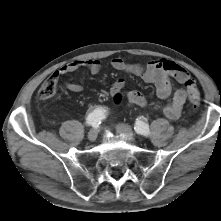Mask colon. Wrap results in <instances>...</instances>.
<instances>
[{
	"label": "colon",
	"instance_id": "obj_1",
	"mask_svg": "<svg viewBox=\"0 0 221 221\" xmlns=\"http://www.w3.org/2000/svg\"><path fill=\"white\" fill-rule=\"evenodd\" d=\"M184 85L186 87L188 98L190 101L191 106L194 109L199 108L201 104V98L200 95L195 87L194 81L192 79H187L184 82ZM58 86V79L51 76L47 78L39 87L37 92V98L39 100H46L48 98H51L57 91ZM123 99V94L121 92H117L113 95V101L116 104H119Z\"/></svg>",
	"mask_w": 221,
	"mask_h": 221
}]
</instances>
